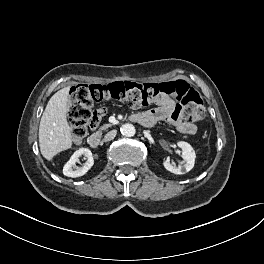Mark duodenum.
<instances>
[{
    "label": "duodenum",
    "instance_id": "410a0bca",
    "mask_svg": "<svg viewBox=\"0 0 264 264\" xmlns=\"http://www.w3.org/2000/svg\"><path fill=\"white\" fill-rule=\"evenodd\" d=\"M131 119L144 127H151L153 125L150 121L141 116L134 115ZM101 140V134L96 132L89 136L88 143L91 147H98L101 144Z\"/></svg>",
    "mask_w": 264,
    "mask_h": 264
}]
</instances>
